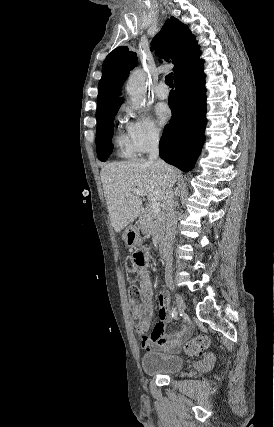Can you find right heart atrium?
Wrapping results in <instances>:
<instances>
[{"label": "right heart atrium", "instance_id": "1", "mask_svg": "<svg viewBox=\"0 0 274 427\" xmlns=\"http://www.w3.org/2000/svg\"><path fill=\"white\" fill-rule=\"evenodd\" d=\"M126 134L137 152H147L159 143L160 134L145 116L126 124Z\"/></svg>", "mask_w": 274, "mask_h": 427}]
</instances>
